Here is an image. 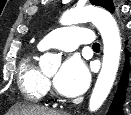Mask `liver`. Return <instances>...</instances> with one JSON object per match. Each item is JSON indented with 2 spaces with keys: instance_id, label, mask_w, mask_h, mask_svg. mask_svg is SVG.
<instances>
[{
  "instance_id": "6515ba94",
  "label": "liver",
  "mask_w": 131,
  "mask_h": 115,
  "mask_svg": "<svg viewBox=\"0 0 131 115\" xmlns=\"http://www.w3.org/2000/svg\"><path fill=\"white\" fill-rule=\"evenodd\" d=\"M11 115H60L59 112L33 105H15Z\"/></svg>"
}]
</instances>
